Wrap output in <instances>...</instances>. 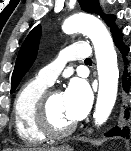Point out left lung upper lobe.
<instances>
[{
	"label": "left lung upper lobe",
	"instance_id": "left-lung-upper-lobe-1",
	"mask_svg": "<svg viewBox=\"0 0 131 151\" xmlns=\"http://www.w3.org/2000/svg\"><path fill=\"white\" fill-rule=\"evenodd\" d=\"M78 1L82 10L89 13H97L98 15H100L106 21L107 25L110 27L113 36L121 32V30L118 29L117 26L114 24L115 16L103 15L99 8L97 0H78ZM40 37H41V25H38L28 34L25 41L23 42L18 53V57L12 74L11 93L14 92V90L20 83L25 73L29 70V68L33 64L37 55Z\"/></svg>",
	"mask_w": 131,
	"mask_h": 151
}]
</instances>
